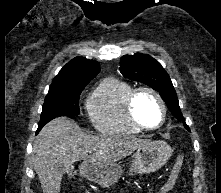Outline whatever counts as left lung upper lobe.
I'll list each match as a JSON object with an SVG mask.
<instances>
[{"instance_id": "5c2ea615", "label": "left lung upper lobe", "mask_w": 221, "mask_h": 193, "mask_svg": "<svg viewBox=\"0 0 221 193\" xmlns=\"http://www.w3.org/2000/svg\"><path fill=\"white\" fill-rule=\"evenodd\" d=\"M120 72L124 77L158 91L173 116L180 121L184 120L171 79L157 60L148 54L124 55L120 60Z\"/></svg>"}]
</instances>
